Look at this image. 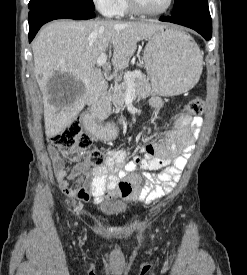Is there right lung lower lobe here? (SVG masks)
<instances>
[{
  "label": "right lung lower lobe",
  "instance_id": "obj_1",
  "mask_svg": "<svg viewBox=\"0 0 247 275\" xmlns=\"http://www.w3.org/2000/svg\"><path fill=\"white\" fill-rule=\"evenodd\" d=\"M95 17L94 11L68 7L65 5H47L31 9L28 15L29 42L33 40L40 27L55 19L87 20Z\"/></svg>",
  "mask_w": 247,
  "mask_h": 275
}]
</instances>
